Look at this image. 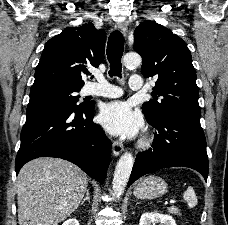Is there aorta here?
I'll return each mask as SVG.
<instances>
[{
    "mask_svg": "<svg viewBox=\"0 0 228 225\" xmlns=\"http://www.w3.org/2000/svg\"><path fill=\"white\" fill-rule=\"evenodd\" d=\"M123 62L127 68H134V66L141 64L142 58L138 52H127V54H124ZM133 163L134 159L131 153H124V155L120 157L115 167L112 181V191L115 197H120V195L124 193L131 175Z\"/></svg>",
    "mask_w": 228,
    "mask_h": 225,
    "instance_id": "762f6f07",
    "label": "aorta"
}]
</instances>
